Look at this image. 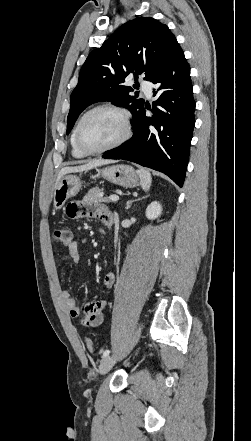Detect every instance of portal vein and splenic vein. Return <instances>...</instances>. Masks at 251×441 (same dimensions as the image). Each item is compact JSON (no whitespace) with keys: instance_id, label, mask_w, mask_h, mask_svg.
Segmentation results:
<instances>
[{"instance_id":"obj_1","label":"portal vein and splenic vein","mask_w":251,"mask_h":441,"mask_svg":"<svg viewBox=\"0 0 251 441\" xmlns=\"http://www.w3.org/2000/svg\"><path fill=\"white\" fill-rule=\"evenodd\" d=\"M109 199L113 202H117L119 200V197L117 195H110Z\"/></svg>"}]
</instances>
